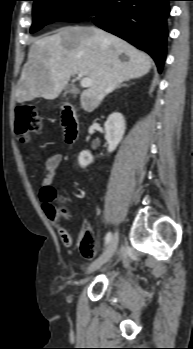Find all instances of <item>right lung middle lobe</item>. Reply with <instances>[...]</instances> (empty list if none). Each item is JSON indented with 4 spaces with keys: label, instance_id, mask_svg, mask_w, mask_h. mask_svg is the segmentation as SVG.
I'll list each match as a JSON object with an SVG mask.
<instances>
[{
    "label": "right lung middle lobe",
    "instance_id": "right-lung-middle-lobe-1",
    "mask_svg": "<svg viewBox=\"0 0 193 349\" xmlns=\"http://www.w3.org/2000/svg\"><path fill=\"white\" fill-rule=\"evenodd\" d=\"M34 33L55 21H79L90 15L100 0H33Z\"/></svg>",
    "mask_w": 193,
    "mask_h": 349
}]
</instances>
